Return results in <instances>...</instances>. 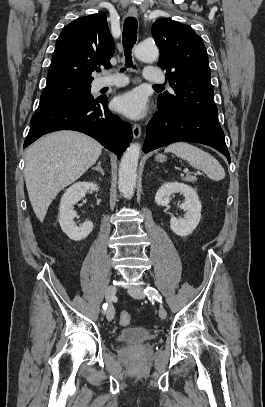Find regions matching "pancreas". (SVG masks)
I'll list each match as a JSON object with an SVG mask.
<instances>
[{
	"instance_id": "pancreas-1",
	"label": "pancreas",
	"mask_w": 265,
	"mask_h": 407,
	"mask_svg": "<svg viewBox=\"0 0 265 407\" xmlns=\"http://www.w3.org/2000/svg\"><path fill=\"white\" fill-rule=\"evenodd\" d=\"M184 181L186 182H195L197 179L195 176L187 175L186 177L183 178Z\"/></svg>"
}]
</instances>
